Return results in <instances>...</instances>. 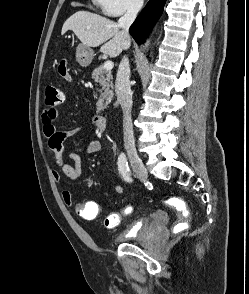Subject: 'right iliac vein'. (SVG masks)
Returning a JSON list of instances; mask_svg holds the SVG:
<instances>
[{"label":"right iliac vein","instance_id":"1","mask_svg":"<svg viewBox=\"0 0 249 294\" xmlns=\"http://www.w3.org/2000/svg\"><path fill=\"white\" fill-rule=\"evenodd\" d=\"M128 156H129L131 166L133 170L135 171V173L137 174V176L141 179L147 178L148 174H147L146 167L144 166L141 158L136 153V151L133 149H129Z\"/></svg>","mask_w":249,"mask_h":294}]
</instances>
